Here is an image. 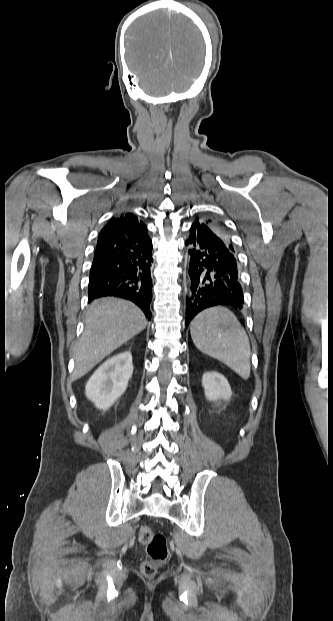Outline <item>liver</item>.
Wrapping results in <instances>:
<instances>
[{
    "mask_svg": "<svg viewBox=\"0 0 333 621\" xmlns=\"http://www.w3.org/2000/svg\"><path fill=\"white\" fill-rule=\"evenodd\" d=\"M147 325L143 312L134 304L116 298L92 302L85 318V330L73 350V379L87 374L96 364Z\"/></svg>",
    "mask_w": 333,
    "mask_h": 621,
    "instance_id": "1",
    "label": "liver"
}]
</instances>
